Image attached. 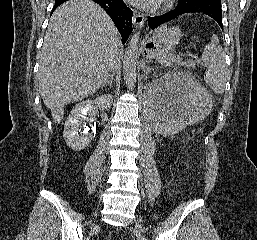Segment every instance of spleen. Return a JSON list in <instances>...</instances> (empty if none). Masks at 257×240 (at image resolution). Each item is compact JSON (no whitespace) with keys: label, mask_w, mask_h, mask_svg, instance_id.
<instances>
[{"label":"spleen","mask_w":257,"mask_h":240,"mask_svg":"<svg viewBox=\"0 0 257 240\" xmlns=\"http://www.w3.org/2000/svg\"><path fill=\"white\" fill-rule=\"evenodd\" d=\"M162 27L166 28V25ZM218 44V37L213 35L210 43L205 46L202 52V61L207 68L204 74L206 84L214 93L222 94L225 91L227 69L223 48Z\"/></svg>","instance_id":"1"}]
</instances>
